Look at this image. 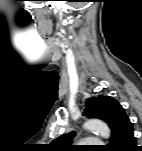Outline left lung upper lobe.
Instances as JSON below:
<instances>
[{
    "instance_id": "obj_1",
    "label": "left lung upper lobe",
    "mask_w": 142,
    "mask_h": 151,
    "mask_svg": "<svg viewBox=\"0 0 142 151\" xmlns=\"http://www.w3.org/2000/svg\"><path fill=\"white\" fill-rule=\"evenodd\" d=\"M83 115L88 118H100L109 125L112 133L107 149H110L123 133L133 127L124 108L110 96L100 95L87 99ZM74 136V132L64 134L53 140L50 146L57 151L70 150L72 148L70 143Z\"/></svg>"
}]
</instances>
